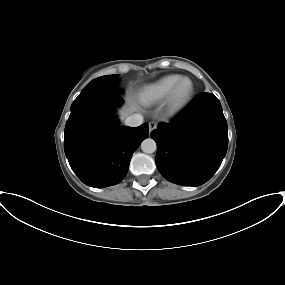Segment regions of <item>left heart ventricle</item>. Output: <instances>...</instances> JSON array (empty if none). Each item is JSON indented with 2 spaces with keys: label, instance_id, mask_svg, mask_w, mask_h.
<instances>
[{
  "label": "left heart ventricle",
  "instance_id": "1",
  "mask_svg": "<svg viewBox=\"0 0 285 285\" xmlns=\"http://www.w3.org/2000/svg\"><path fill=\"white\" fill-rule=\"evenodd\" d=\"M189 90H190V83L188 81H185L180 88L179 92L180 96H185L189 92Z\"/></svg>",
  "mask_w": 285,
  "mask_h": 285
}]
</instances>
